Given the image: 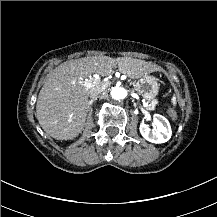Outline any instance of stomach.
I'll use <instances>...</instances> for the list:
<instances>
[{"label":"stomach","mask_w":217,"mask_h":217,"mask_svg":"<svg viewBox=\"0 0 217 217\" xmlns=\"http://www.w3.org/2000/svg\"><path fill=\"white\" fill-rule=\"evenodd\" d=\"M159 89V80L151 74L140 78L135 84L136 92L148 100L154 99L157 96Z\"/></svg>","instance_id":"obj_1"}]
</instances>
